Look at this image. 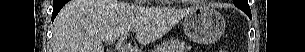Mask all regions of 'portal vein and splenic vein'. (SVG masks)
Here are the masks:
<instances>
[{
	"mask_svg": "<svg viewBox=\"0 0 305 52\" xmlns=\"http://www.w3.org/2000/svg\"><path fill=\"white\" fill-rule=\"evenodd\" d=\"M126 36L124 37H121L117 44H116V49L120 50L121 52H136L135 49L133 48H130V47H127L125 44H123V39L125 38ZM113 40H106V42H112Z\"/></svg>",
	"mask_w": 305,
	"mask_h": 52,
	"instance_id": "obj_1",
	"label": "portal vein and splenic vein"
}]
</instances>
